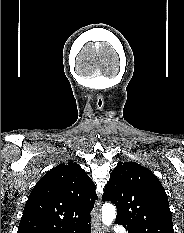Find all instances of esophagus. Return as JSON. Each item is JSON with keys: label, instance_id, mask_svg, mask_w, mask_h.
<instances>
[{"label": "esophagus", "instance_id": "esophagus-1", "mask_svg": "<svg viewBox=\"0 0 184 233\" xmlns=\"http://www.w3.org/2000/svg\"><path fill=\"white\" fill-rule=\"evenodd\" d=\"M103 226L100 221V215L97 214L93 224V233H102Z\"/></svg>", "mask_w": 184, "mask_h": 233}]
</instances>
